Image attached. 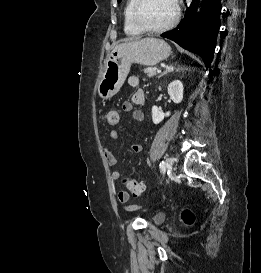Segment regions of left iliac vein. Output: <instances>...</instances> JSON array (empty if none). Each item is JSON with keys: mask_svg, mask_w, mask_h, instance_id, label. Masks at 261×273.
<instances>
[{"mask_svg": "<svg viewBox=\"0 0 261 273\" xmlns=\"http://www.w3.org/2000/svg\"><path fill=\"white\" fill-rule=\"evenodd\" d=\"M172 166H173V159L171 157H168L166 159V168L169 172L172 170Z\"/></svg>", "mask_w": 261, "mask_h": 273, "instance_id": "1", "label": "left iliac vein"}]
</instances>
